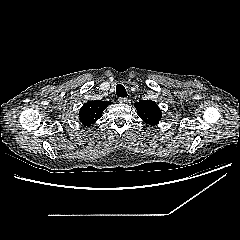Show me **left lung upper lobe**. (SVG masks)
I'll return each mask as SVG.
<instances>
[{"label":"left lung upper lobe","instance_id":"5c2ea615","mask_svg":"<svg viewBox=\"0 0 240 240\" xmlns=\"http://www.w3.org/2000/svg\"><path fill=\"white\" fill-rule=\"evenodd\" d=\"M139 117L150 125H155L161 120V111L158 105L152 100H141L134 104Z\"/></svg>","mask_w":240,"mask_h":240}]
</instances>
